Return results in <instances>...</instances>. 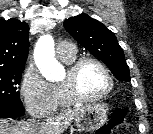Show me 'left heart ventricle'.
Segmentation results:
<instances>
[{"instance_id":"obj_1","label":"left heart ventricle","mask_w":153,"mask_h":134,"mask_svg":"<svg viewBox=\"0 0 153 134\" xmlns=\"http://www.w3.org/2000/svg\"><path fill=\"white\" fill-rule=\"evenodd\" d=\"M66 78V74L62 81ZM108 79L103 70L93 63L84 65L78 75L77 85L81 94L94 96L102 93L108 87Z\"/></svg>"}]
</instances>
